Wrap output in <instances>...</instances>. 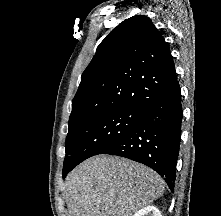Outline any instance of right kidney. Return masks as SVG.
I'll return each instance as SVG.
<instances>
[{
  "instance_id": "obj_1",
  "label": "right kidney",
  "mask_w": 221,
  "mask_h": 216,
  "mask_svg": "<svg viewBox=\"0 0 221 216\" xmlns=\"http://www.w3.org/2000/svg\"><path fill=\"white\" fill-rule=\"evenodd\" d=\"M133 216H162V215L157 207L149 205L147 207L140 209Z\"/></svg>"
}]
</instances>
